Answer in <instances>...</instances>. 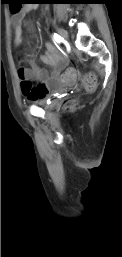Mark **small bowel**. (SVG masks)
Wrapping results in <instances>:
<instances>
[{
    "mask_svg": "<svg viewBox=\"0 0 122 257\" xmlns=\"http://www.w3.org/2000/svg\"><path fill=\"white\" fill-rule=\"evenodd\" d=\"M35 9V5H26L23 10L13 15L12 27L15 46L22 43L23 26H28L30 31L33 30L31 24L26 20V16ZM41 61L51 67V72L39 68L34 62L30 63V67L21 66L17 70L22 94L32 101L46 98L49 95L50 86L62 79L61 72L67 65L65 56L51 42H46Z\"/></svg>",
    "mask_w": 122,
    "mask_h": 257,
    "instance_id": "1",
    "label": "small bowel"
}]
</instances>
